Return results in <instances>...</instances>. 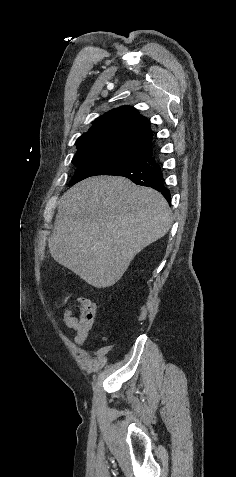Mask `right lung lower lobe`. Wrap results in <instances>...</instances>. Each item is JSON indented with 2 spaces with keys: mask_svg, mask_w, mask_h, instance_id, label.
<instances>
[{
  "mask_svg": "<svg viewBox=\"0 0 236 477\" xmlns=\"http://www.w3.org/2000/svg\"><path fill=\"white\" fill-rule=\"evenodd\" d=\"M111 175L129 178L138 185L151 187L161 192L167 201L171 199L169 190L164 186L161 167L152 155L135 164L123 167Z\"/></svg>",
  "mask_w": 236,
  "mask_h": 477,
  "instance_id": "98d812e1",
  "label": "right lung lower lobe"
}]
</instances>
